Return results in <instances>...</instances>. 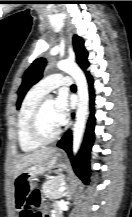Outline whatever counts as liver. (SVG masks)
Masks as SVG:
<instances>
[{"instance_id":"6515ba94","label":"liver","mask_w":132,"mask_h":217,"mask_svg":"<svg viewBox=\"0 0 132 217\" xmlns=\"http://www.w3.org/2000/svg\"><path fill=\"white\" fill-rule=\"evenodd\" d=\"M57 153L56 148H43L40 150L33 151L29 154L22 155L18 158L15 163L14 179L20 174V172L34 164H38L51 158Z\"/></svg>"}]
</instances>
